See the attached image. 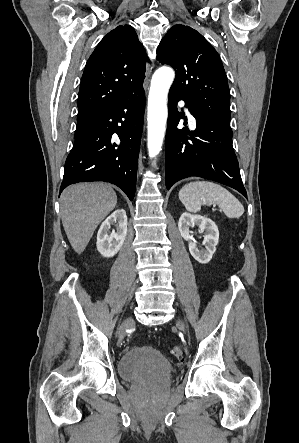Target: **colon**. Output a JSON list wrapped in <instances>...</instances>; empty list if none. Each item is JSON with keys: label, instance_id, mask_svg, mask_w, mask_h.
<instances>
[{"label": "colon", "instance_id": "obj_1", "mask_svg": "<svg viewBox=\"0 0 299 443\" xmlns=\"http://www.w3.org/2000/svg\"><path fill=\"white\" fill-rule=\"evenodd\" d=\"M172 354L174 357L180 359L183 356V348L180 345H176L172 348Z\"/></svg>", "mask_w": 299, "mask_h": 443}]
</instances>
